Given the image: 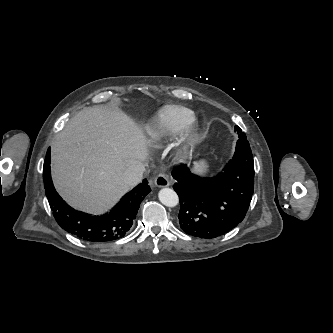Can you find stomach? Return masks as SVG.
<instances>
[{"label":"stomach","mask_w":333,"mask_h":333,"mask_svg":"<svg viewBox=\"0 0 333 333\" xmlns=\"http://www.w3.org/2000/svg\"><path fill=\"white\" fill-rule=\"evenodd\" d=\"M207 164L205 161L195 162L194 164V170L197 173H204L207 170Z\"/></svg>","instance_id":"0dacf381"}]
</instances>
